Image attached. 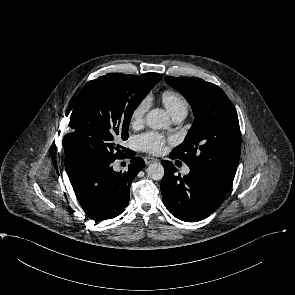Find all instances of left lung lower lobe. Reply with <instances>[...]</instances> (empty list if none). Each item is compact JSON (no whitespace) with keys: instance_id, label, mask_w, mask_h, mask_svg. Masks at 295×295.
Listing matches in <instances>:
<instances>
[{"instance_id":"0a47b994","label":"left lung lower lobe","mask_w":295,"mask_h":295,"mask_svg":"<svg viewBox=\"0 0 295 295\" xmlns=\"http://www.w3.org/2000/svg\"><path fill=\"white\" fill-rule=\"evenodd\" d=\"M170 158L174 159L171 155ZM165 174L161 181L163 202L176 218L196 222L212 214L229 192L209 175L190 170L184 177L177 176L173 163L163 160Z\"/></svg>"}]
</instances>
